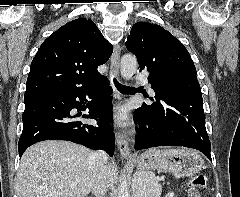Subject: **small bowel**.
Returning a JSON list of instances; mask_svg holds the SVG:
<instances>
[{
    "instance_id": "c3829d8e",
    "label": "small bowel",
    "mask_w": 240,
    "mask_h": 197,
    "mask_svg": "<svg viewBox=\"0 0 240 197\" xmlns=\"http://www.w3.org/2000/svg\"><path fill=\"white\" fill-rule=\"evenodd\" d=\"M189 197H198V196H197V191H195L194 189H190V191H189Z\"/></svg>"
}]
</instances>
